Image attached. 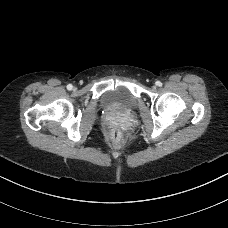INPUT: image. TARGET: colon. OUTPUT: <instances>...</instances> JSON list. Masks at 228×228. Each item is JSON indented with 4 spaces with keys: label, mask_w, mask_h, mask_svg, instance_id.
I'll return each mask as SVG.
<instances>
[{
    "label": "colon",
    "mask_w": 228,
    "mask_h": 228,
    "mask_svg": "<svg viewBox=\"0 0 228 228\" xmlns=\"http://www.w3.org/2000/svg\"><path fill=\"white\" fill-rule=\"evenodd\" d=\"M109 140L111 142L112 145H120L122 140H123V135L121 133V131L115 127L111 130L110 134H109Z\"/></svg>",
    "instance_id": "5ec220e1"
}]
</instances>
